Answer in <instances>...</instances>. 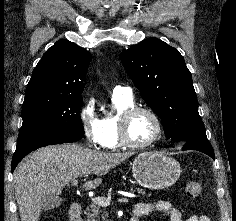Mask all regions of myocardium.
<instances>
[{
  "instance_id": "myocardium-1",
  "label": "myocardium",
  "mask_w": 236,
  "mask_h": 221,
  "mask_svg": "<svg viewBox=\"0 0 236 221\" xmlns=\"http://www.w3.org/2000/svg\"><path fill=\"white\" fill-rule=\"evenodd\" d=\"M146 113L150 115L155 124H156V132L155 135L151 140H149L146 143H135L132 141L129 137L128 133V128H129V123L131 119L138 113ZM163 134V124L162 121L159 117V115L150 107L147 106H141V105H133L131 107L126 108L125 110L122 111L120 114V117L118 119V135H119V140L121 144L125 147L132 148V149H146L154 144H156L160 138L162 137Z\"/></svg>"
}]
</instances>
